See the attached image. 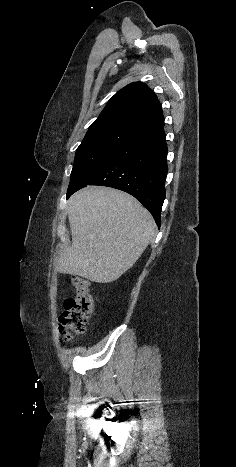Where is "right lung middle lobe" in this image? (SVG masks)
<instances>
[{
	"instance_id": "right-lung-middle-lobe-1",
	"label": "right lung middle lobe",
	"mask_w": 236,
	"mask_h": 467,
	"mask_svg": "<svg viewBox=\"0 0 236 467\" xmlns=\"http://www.w3.org/2000/svg\"><path fill=\"white\" fill-rule=\"evenodd\" d=\"M139 133L118 126L89 128L76 150L70 184L77 182L92 166Z\"/></svg>"
}]
</instances>
